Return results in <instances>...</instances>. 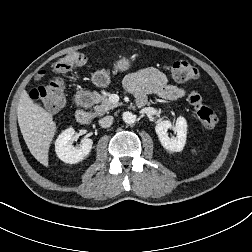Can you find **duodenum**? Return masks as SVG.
<instances>
[{
    "instance_id": "duodenum-1",
    "label": "duodenum",
    "mask_w": 252,
    "mask_h": 252,
    "mask_svg": "<svg viewBox=\"0 0 252 252\" xmlns=\"http://www.w3.org/2000/svg\"><path fill=\"white\" fill-rule=\"evenodd\" d=\"M92 95L87 91H79L75 97V102L80 108L76 111V119L81 124H87L91 120L90 113L85 109L92 103Z\"/></svg>"
}]
</instances>
